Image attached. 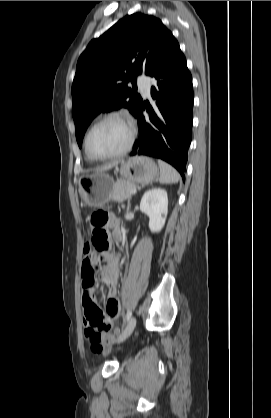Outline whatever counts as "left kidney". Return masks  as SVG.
Masks as SVG:
<instances>
[{
	"label": "left kidney",
	"mask_w": 271,
	"mask_h": 418,
	"mask_svg": "<svg viewBox=\"0 0 271 418\" xmlns=\"http://www.w3.org/2000/svg\"><path fill=\"white\" fill-rule=\"evenodd\" d=\"M140 210L149 217L151 232H160L168 213L167 192L161 188H153L143 195Z\"/></svg>",
	"instance_id": "obj_1"
}]
</instances>
